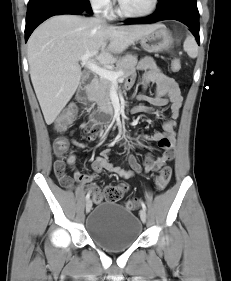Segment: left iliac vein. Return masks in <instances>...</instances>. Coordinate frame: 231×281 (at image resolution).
I'll use <instances>...</instances> for the list:
<instances>
[{"label":"left iliac vein","mask_w":231,"mask_h":281,"mask_svg":"<svg viewBox=\"0 0 231 281\" xmlns=\"http://www.w3.org/2000/svg\"><path fill=\"white\" fill-rule=\"evenodd\" d=\"M139 215H140L141 221L143 223H145L146 219H147L146 212L143 209H141L140 212H139Z\"/></svg>","instance_id":"obj_1"}]
</instances>
